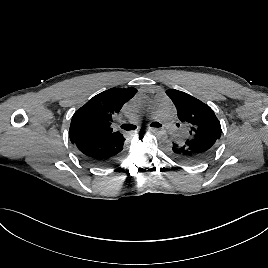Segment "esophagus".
Returning a JSON list of instances; mask_svg holds the SVG:
<instances>
[{"mask_svg":"<svg viewBox=\"0 0 268 268\" xmlns=\"http://www.w3.org/2000/svg\"><path fill=\"white\" fill-rule=\"evenodd\" d=\"M148 130H150V131H153V132H154V131H156V130H157V128H154V127H149V128H148Z\"/></svg>","mask_w":268,"mask_h":268,"instance_id":"esophagus-1","label":"esophagus"}]
</instances>
